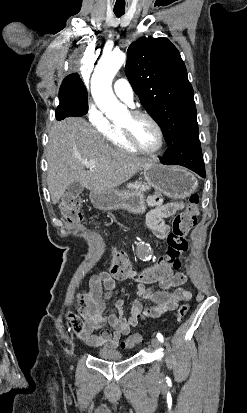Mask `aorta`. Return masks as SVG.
<instances>
[{
    "mask_svg": "<svg viewBox=\"0 0 247 413\" xmlns=\"http://www.w3.org/2000/svg\"><path fill=\"white\" fill-rule=\"evenodd\" d=\"M126 60L125 53L113 51L104 53L95 67L91 92L97 106L110 119L119 118L125 106L119 103L112 91V80Z\"/></svg>",
    "mask_w": 247,
    "mask_h": 413,
    "instance_id": "1",
    "label": "aorta"
}]
</instances>
